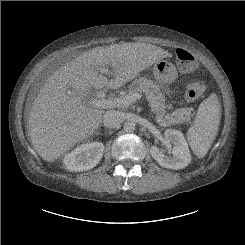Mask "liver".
Here are the masks:
<instances>
[{
	"label": "liver",
	"mask_w": 245,
	"mask_h": 245,
	"mask_svg": "<svg viewBox=\"0 0 245 245\" xmlns=\"http://www.w3.org/2000/svg\"><path fill=\"white\" fill-rule=\"evenodd\" d=\"M161 47L125 42L95 47L56 70L35 98L28 117L33 148L46 161L62 157L99 128L105 113L89 103L91 88L117 89L151 65L170 57ZM110 65L113 79L102 75Z\"/></svg>",
	"instance_id": "6515ba94"
}]
</instances>
